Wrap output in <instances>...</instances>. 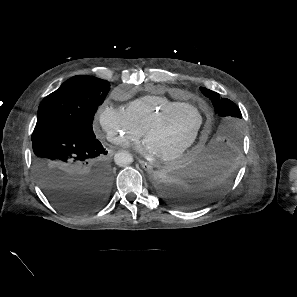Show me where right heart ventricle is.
Masks as SVG:
<instances>
[{"mask_svg": "<svg viewBox=\"0 0 297 297\" xmlns=\"http://www.w3.org/2000/svg\"><path fill=\"white\" fill-rule=\"evenodd\" d=\"M186 102L174 100L164 95H145L139 97L125 108L131 121L143 132L146 125L160 112L167 108L176 107Z\"/></svg>", "mask_w": 297, "mask_h": 297, "instance_id": "obj_1", "label": "right heart ventricle"}]
</instances>
